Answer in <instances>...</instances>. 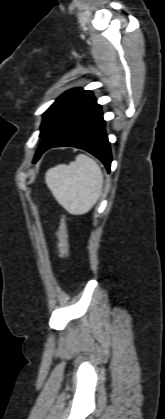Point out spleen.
I'll use <instances>...</instances> for the list:
<instances>
[{"label": "spleen", "mask_w": 165, "mask_h": 419, "mask_svg": "<svg viewBox=\"0 0 165 419\" xmlns=\"http://www.w3.org/2000/svg\"><path fill=\"white\" fill-rule=\"evenodd\" d=\"M45 181L57 202L70 214L87 213L98 201L103 187V174L92 158L79 154L68 165L50 168Z\"/></svg>", "instance_id": "obj_1"}]
</instances>
